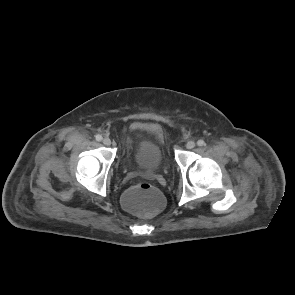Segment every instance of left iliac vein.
Here are the masks:
<instances>
[{
    "label": "left iliac vein",
    "mask_w": 295,
    "mask_h": 295,
    "mask_svg": "<svg viewBox=\"0 0 295 295\" xmlns=\"http://www.w3.org/2000/svg\"><path fill=\"white\" fill-rule=\"evenodd\" d=\"M196 146V143L194 141H188L186 143V148L187 149H193Z\"/></svg>",
    "instance_id": "1"
}]
</instances>
